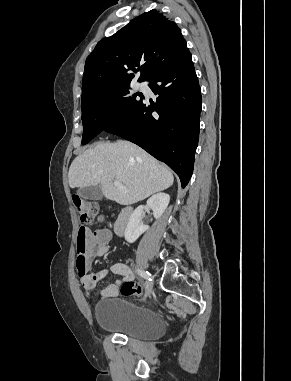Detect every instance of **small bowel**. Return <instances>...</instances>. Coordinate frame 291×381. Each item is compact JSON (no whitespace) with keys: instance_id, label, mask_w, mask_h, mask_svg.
<instances>
[{"instance_id":"small-bowel-1","label":"small bowel","mask_w":291,"mask_h":381,"mask_svg":"<svg viewBox=\"0 0 291 381\" xmlns=\"http://www.w3.org/2000/svg\"><path fill=\"white\" fill-rule=\"evenodd\" d=\"M88 234L90 257L96 258L107 254L109 250V243L112 239L111 230L108 228H100L95 231H88ZM109 274L118 275L120 279L102 290L101 294L106 298L118 296L120 293L121 284L134 279V275L130 268L126 264L118 262L113 264L109 270L102 269L82 276L80 283L85 294L89 295L92 291H94L98 282L104 280Z\"/></svg>"}]
</instances>
